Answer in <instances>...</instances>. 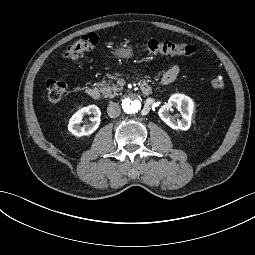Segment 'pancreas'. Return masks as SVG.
Returning a JSON list of instances; mask_svg holds the SVG:
<instances>
[{
    "label": "pancreas",
    "mask_w": 255,
    "mask_h": 255,
    "mask_svg": "<svg viewBox=\"0 0 255 255\" xmlns=\"http://www.w3.org/2000/svg\"><path fill=\"white\" fill-rule=\"evenodd\" d=\"M100 91L102 92V96L104 98H109L112 99L116 95L121 94L122 88L119 87L118 85H115L112 80H102L100 84Z\"/></svg>",
    "instance_id": "pancreas-1"
}]
</instances>
